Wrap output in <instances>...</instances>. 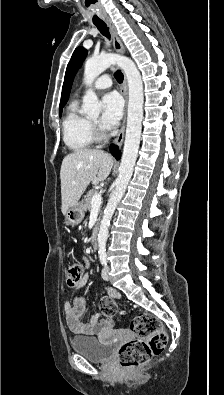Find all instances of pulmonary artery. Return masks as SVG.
<instances>
[{
	"label": "pulmonary artery",
	"mask_w": 224,
	"mask_h": 395,
	"mask_svg": "<svg viewBox=\"0 0 224 395\" xmlns=\"http://www.w3.org/2000/svg\"><path fill=\"white\" fill-rule=\"evenodd\" d=\"M112 85V78L108 74L101 75L98 77L94 83L93 88L96 90L106 89L111 87Z\"/></svg>",
	"instance_id": "1"
}]
</instances>
